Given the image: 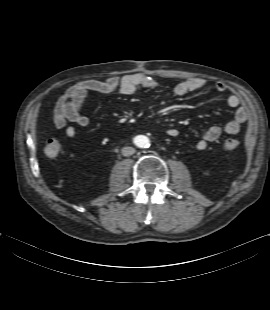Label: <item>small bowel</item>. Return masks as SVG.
<instances>
[{"mask_svg":"<svg viewBox=\"0 0 270 310\" xmlns=\"http://www.w3.org/2000/svg\"><path fill=\"white\" fill-rule=\"evenodd\" d=\"M158 85L154 78L141 72L111 77L105 80L87 79L79 81L58 99L53 115L54 124L56 128L65 130V134L69 138H73L76 135L75 125L87 127L90 123L89 118L82 112L88 93L118 91L123 95H130L138 88L152 89L158 87ZM205 85L206 81L203 78H191L175 85L171 92L175 96H183L200 90ZM214 87L219 92L227 90L226 85L221 82L216 83ZM227 104L235 110L233 119L225 125H214L208 128L203 138L196 144L198 150L205 149L209 142L218 140L224 133L231 135L239 133L241 125L247 120V110L242 106L240 97L234 93L227 97ZM68 122L72 124H68ZM167 134L170 137H176L179 132L175 128H169Z\"/></svg>","mask_w":270,"mask_h":310,"instance_id":"c3829d8e","label":"small bowel"}]
</instances>
